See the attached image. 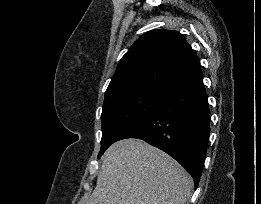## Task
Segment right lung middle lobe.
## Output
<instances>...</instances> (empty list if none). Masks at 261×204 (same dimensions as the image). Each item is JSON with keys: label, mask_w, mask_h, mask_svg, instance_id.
<instances>
[{"label": "right lung middle lobe", "mask_w": 261, "mask_h": 204, "mask_svg": "<svg viewBox=\"0 0 261 204\" xmlns=\"http://www.w3.org/2000/svg\"><path fill=\"white\" fill-rule=\"evenodd\" d=\"M166 92L130 90L105 97L101 149L98 157L131 126L147 115L165 97Z\"/></svg>", "instance_id": "1"}]
</instances>
